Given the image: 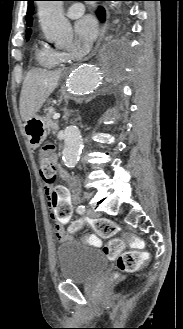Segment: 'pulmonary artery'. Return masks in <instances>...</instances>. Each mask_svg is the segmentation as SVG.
<instances>
[{
	"label": "pulmonary artery",
	"mask_w": 183,
	"mask_h": 329,
	"mask_svg": "<svg viewBox=\"0 0 183 329\" xmlns=\"http://www.w3.org/2000/svg\"><path fill=\"white\" fill-rule=\"evenodd\" d=\"M85 11L84 5L81 3H73L67 9V16L71 19L80 17Z\"/></svg>",
	"instance_id": "1"
}]
</instances>
